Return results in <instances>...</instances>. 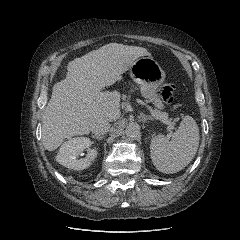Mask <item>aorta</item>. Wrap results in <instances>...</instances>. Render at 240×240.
<instances>
[{
    "label": "aorta",
    "mask_w": 240,
    "mask_h": 240,
    "mask_svg": "<svg viewBox=\"0 0 240 240\" xmlns=\"http://www.w3.org/2000/svg\"><path fill=\"white\" fill-rule=\"evenodd\" d=\"M125 133L128 137H136L140 134V126L136 122H130L127 124Z\"/></svg>",
    "instance_id": "obj_1"
}]
</instances>
